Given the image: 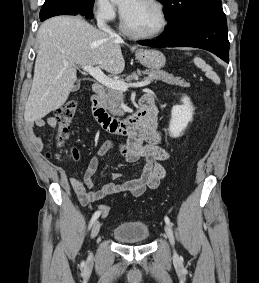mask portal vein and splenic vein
I'll list each match as a JSON object with an SVG mask.
<instances>
[{"label":"portal vein and splenic vein","instance_id":"obj_1","mask_svg":"<svg viewBox=\"0 0 259 283\" xmlns=\"http://www.w3.org/2000/svg\"><path fill=\"white\" fill-rule=\"evenodd\" d=\"M82 69L84 71H86L87 73H89L93 78H95L102 85H104L108 88L120 90L122 92L127 91L129 87H135V88L136 87H144V86L150 84L151 81H152L149 78H146L143 81H140V82H137V83L127 84L122 80H115V79H111V78L107 77L101 71V69L98 66H96V67L82 66Z\"/></svg>","mask_w":259,"mask_h":283}]
</instances>
